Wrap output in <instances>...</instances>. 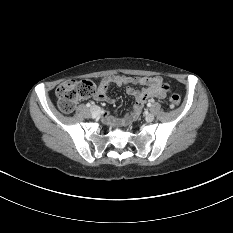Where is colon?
<instances>
[{
  "mask_svg": "<svg viewBox=\"0 0 233 233\" xmlns=\"http://www.w3.org/2000/svg\"><path fill=\"white\" fill-rule=\"evenodd\" d=\"M94 93L95 85L88 79L62 83L56 89L58 107L61 111L69 113L74 110L80 100L86 99ZM169 101L172 107H177L180 103V96L172 94Z\"/></svg>",
  "mask_w": 233,
  "mask_h": 233,
  "instance_id": "colon-1",
  "label": "colon"
}]
</instances>
